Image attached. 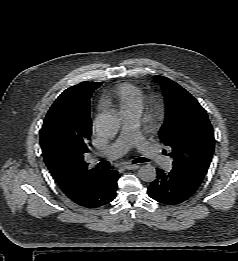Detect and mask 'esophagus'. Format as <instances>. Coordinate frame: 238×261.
<instances>
[{
  "instance_id": "obj_1",
  "label": "esophagus",
  "mask_w": 238,
  "mask_h": 261,
  "mask_svg": "<svg viewBox=\"0 0 238 261\" xmlns=\"http://www.w3.org/2000/svg\"><path fill=\"white\" fill-rule=\"evenodd\" d=\"M123 168L127 169V170H135V169L139 168V165H137V164H124Z\"/></svg>"
}]
</instances>
